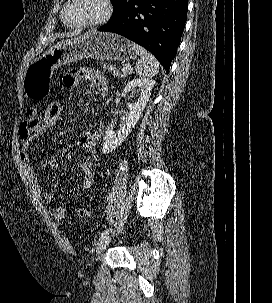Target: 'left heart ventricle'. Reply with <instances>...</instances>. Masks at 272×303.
<instances>
[{
    "mask_svg": "<svg viewBox=\"0 0 272 303\" xmlns=\"http://www.w3.org/2000/svg\"><path fill=\"white\" fill-rule=\"evenodd\" d=\"M103 7L98 0H75L68 8L66 19L69 23H80L100 17Z\"/></svg>",
    "mask_w": 272,
    "mask_h": 303,
    "instance_id": "1",
    "label": "left heart ventricle"
}]
</instances>
